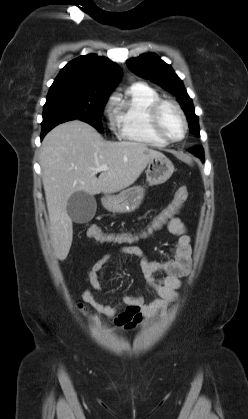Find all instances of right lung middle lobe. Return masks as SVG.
<instances>
[{
	"label": "right lung middle lobe",
	"instance_id": "dd1d6c3e",
	"mask_svg": "<svg viewBox=\"0 0 248 419\" xmlns=\"http://www.w3.org/2000/svg\"><path fill=\"white\" fill-rule=\"evenodd\" d=\"M109 94L72 89H50L44 105L42 126L61 120L79 119L102 132L101 114Z\"/></svg>",
	"mask_w": 248,
	"mask_h": 419
}]
</instances>
